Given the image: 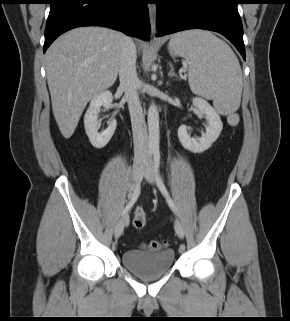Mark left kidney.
I'll return each mask as SVG.
<instances>
[{"mask_svg": "<svg viewBox=\"0 0 290 321\" xmlns=\"http://www.w3.org/2000/svg\"><path fill=\"white\" fill-rule=\"evenodd\" d=\"M193 105L207 117L206 132L201 138H192L187 132V127L181 125L178 129V138L182 146L193 152L201 153L211 147L212 143L217 140L223 128L219 114L204 99L195 97L192 99Z\"/></svg>", "mask_w": 290, "mask_h": 321, "instance_id": "obj_1", "label": "left kidney"}]
</instances>
